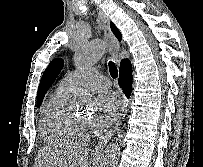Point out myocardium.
<instances>
[{
  "instance_id": "1",
  "label": "myocardium",
  "mask_w": 203,
  "mask_h": 167,
  "mask_svg": "<svg viewBox=\"0 0 203 167\" xmlns=\"http://www.w3.org/2000/svg\"><path fill=\"white\" fill-rule=\"evenodd\" d=\"M77 121H78L79 125L81 126V128L85 127L89 123L88 119L85 117H77Z\"/></svg>"
}]
</instances>
